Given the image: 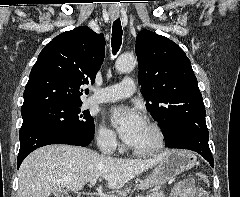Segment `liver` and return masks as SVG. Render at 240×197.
Here are the masks:
<instances>
[{
  "label": "liver",
  "mask_w": 240,
  "mask_h": 197,
  "mask_svg": "<svg viewBox=\"0 0 240 197\" xmlns=\"http://www.w3.org/2000/svg\"><path fill=\"white\" fill-rule=\"evenodd\" d=\"M164 157L119 159L83 147L44 146L22 162L17 197H48L64 189L75 192L93 178H104L108 188L118 190Z\"/></svg>",
  "instance_id": "6515ba94"
}]
</instances>
